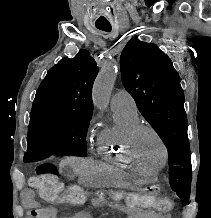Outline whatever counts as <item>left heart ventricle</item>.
<instances>
[{
  "label": "left heart ventricle",
  "mask_w": 211,
  "mask_h": 218,
  "mask_svg": "<svg viewBox=\"0 0 211 218\" xmlns=\"http://www.w3.org/2000/svg\"><path fill=\"white\" fill-rule=\"evenodd\" d=\"M137 156L143 162L160 164L162 162V149L156 137L149 131H142L137 140Z\"/></svg>",
  "instance_id": "b2bd125f"
}]
</instances>
